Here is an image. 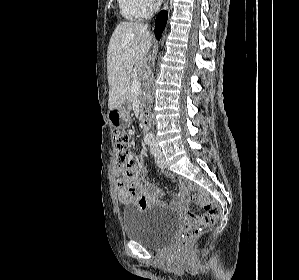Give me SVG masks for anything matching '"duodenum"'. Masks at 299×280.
<instances>
[{
	"instance_id": "obj_1",
	"label": "duodenum",
	"mask_w": 299,
	"mask_h": 280,
	"mask_svg": "<svg viewBox=\"0 0 299 280\" xmlns=\"http://www.w3.org/2000/svg\"><path fill=\"white\" fill-rule=\"evenodd\" d=\"M149 125H150V117L147 110L144 109L142 114V123H141V129L143 133L147 132V130L149 129Z\"/></svg>"
}]
</instances>
